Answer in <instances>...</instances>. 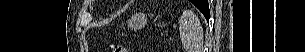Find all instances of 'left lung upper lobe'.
I'll return each instance as SVG.
<instances>
[{
	"mask_svg": "<svg viewBox=\"0 0 305 52\" xmlns=\"http://www.w3.org/2000/svg\"><path fill=\"white\" fill-rule=\"evenodd\" d=\"M196 7L202 8L204 7V1L203 0H190Z\"/></svg>",
	"mask_w": 305,
	"mask_h": 52,
	"instance_id": "left-lung-upper-lobe-1",
	"label": "left lung upper lobe"
}]
</instances>
